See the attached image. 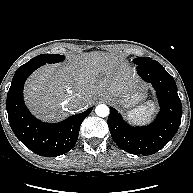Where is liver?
<instances>
[{"instance_id": "1", "label": "liver", "mask_w": 193, "mask_h": 193, "mask_svg": "<svg viewBox=\"0 0 193 193\" xmlns=\"http://www.w3.org/2000/svg\"><path fill=\"white\" fill-rule=\"evenodd\" d=\"M139 86V80L116 56L109 53L82 55L65 64L45 65L26 81L24 98L44 120H60L72 110L70 98L80 97L85 106L107 92L127 93Z\"/></svg>"}]
</instances>
